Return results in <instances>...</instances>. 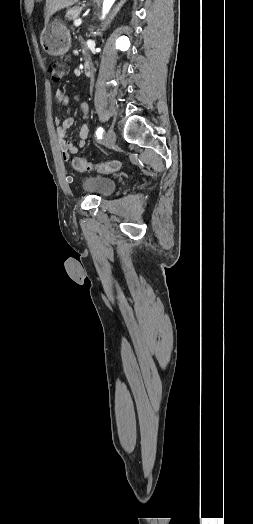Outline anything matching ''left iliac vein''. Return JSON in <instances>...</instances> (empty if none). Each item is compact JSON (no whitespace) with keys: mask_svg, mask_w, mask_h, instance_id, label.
<instances>
[{"mask_svg":"<svg viewBox=\"0 0 253 524\" xmlns=\"http://www.w3.org/2000/svg\"><path fill=\"white\" fill-rule=\"evenodd\" d=\"M104 143L107 147H111L115 144L116 142V134L114 132L113 129H109L105 134H104Z\"/></svg>","mask_w":253,"mask_h":524,"instance_id":"1","label":"left iliac vein"}]
</instances>
